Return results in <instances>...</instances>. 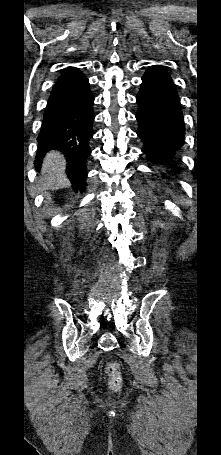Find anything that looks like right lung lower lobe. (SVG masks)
Listing matches in <instances>:
<instances>
[{
	"mask_svg": "<svg viewBox=\"0 0 221 455\" xmlns=\"http://www.w3.org/2000/svg\"><path fill=\"white\" fill-rule=\"evenodd\" d=\"M94 97L86 76L76 68H67L55 83L43 115L38 135L35 164L49 150H59L67 161L66 173L75 190L85 189L86 161L93 136Z\"/></svg>",
	"mask_w": 221,
	"mask_h": 455,
	"instance_id": "obj_1",
	"label": "right lung lower lobe"
}]
</instances>
